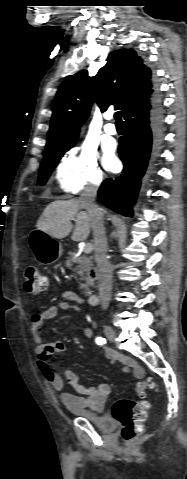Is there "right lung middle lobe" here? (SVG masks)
<instances>
[{
    "mask_svg": "<svg viewBox=\"0 0 187 479\" xmlns=\"http://www.w3.org/2000/svg\"><path fill=\"white\" fill-rule=\"evenodd\" d=\"M71 147L73 146L66 148L50 149L45 152V156L43 158L39 172V185H44L47 182V179L49 178L53 169L58 164L59 160Z\"/></svg>",
    "mask_w": 187,
    "mask_h": 479,
    "instance_id": "dd1d6c3e",
    "label": "right lung middle lobe"
}]
</instances>
